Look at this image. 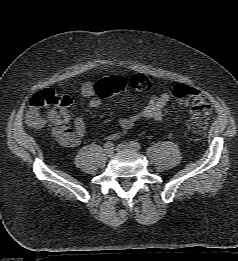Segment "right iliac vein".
I'll return each instance as SVG.
<instances>
[{
    "label": "right iliac vein",
    "instance_id": "obj_1",
    "mask_svg": "<svg viewBox=\"0 0 238 261\" xmlns=\"http://www.w3.org/2000/svg\"><path fill=\"white\" fill-rule=\"evenodd\" d=\"M105 153L108 157H112L114 155V148L111 147V148H107L105 149Z\"/></svg>",
    "mask_w": 238,
    "mask_h": 261
}]
</instances>
